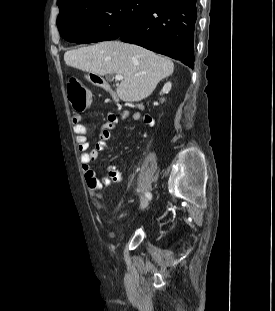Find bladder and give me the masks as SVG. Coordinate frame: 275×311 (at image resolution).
<instances>
[{
    "label": "bladder",
    "mask_w": 275,
    "mask_h": 311,
    "mask_svg": "<svg viewBox=\"0 0 275 311\" xmlns=\"http://www.w3.org/2000/svg\"><path fill=\"white\" fill-rule=\"evenodd\" d=\"M118 234H119V235L123 234V231H119Z\"/></svg>",
    "instance_id": "bladder-1"
}]
</instances>
